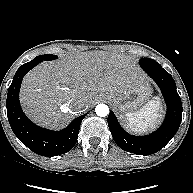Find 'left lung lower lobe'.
<instances>
[{
  "label": "left lung lower lobe",
  "mask_w": 193,
  "mask_h": 193,
  "mask_svg": "<svg viewBox=\"0 0 193 193\" xmlns=\"http://www.w3.org/2000/svg\"><path fill=\"white\" fill-rule=\"evenodd\" d=\"M141 68L157 83L167 104V113L161 127L145 136H133L124 131L114 113L108 115V125L116 144L137 155L158 152L176 134L182 119V103L172 76L153 59L140 62Z\"/></svg>",
  "instance_id": "left-lung-lower-lobe-1"
}]
</instances>
